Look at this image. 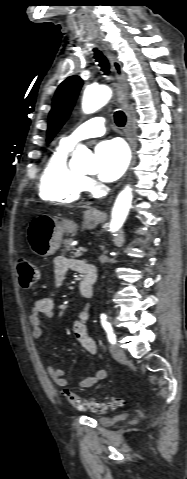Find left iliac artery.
<instances>
[{"instance_id":"left-iliac-artery-1","label":"left iliac artery","mask_w":187,"mask_h":479,"mask_svg":"<svg viewBox=\"0 0 187 479\" xmlns=\"http://www.w3.org/2000/svg\"><path fill=\"white\" fill-rule=\"evenodd\" d=\"M101 324L107 334L109 342L111 344H115L116 336L114 334L111 324L107 321L106 315H101Z\"/></svg>"}]
</instances>
